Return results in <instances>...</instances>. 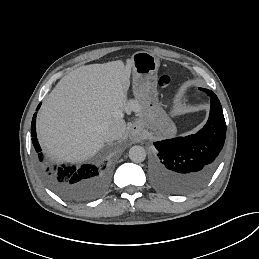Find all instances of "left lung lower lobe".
Instances as JSON below:
<instances>
[{"instance_id": "0a47b994", "label": "left lung lower lobe", "mask_w": 259, "mask_h": 259, "mask_svg": "<svg viewBox=\"0 0 259 259\" xmlns=\"http://www.w3.org/2000/svg\"><path fill=\"white\" fill-rule=\"evenodd\" d=\"M210 96L211 109L206 125L196 134L155 142L158 152L151 163V177L157 188L180 194L204 184L217 168L226 137V123L214 92L200 88Z\"/></svg>"}]
</instances>
